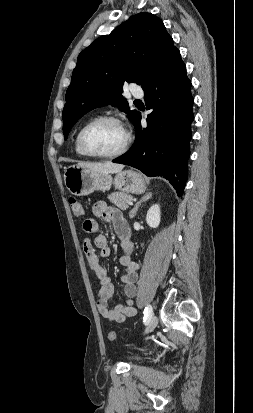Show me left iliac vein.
<instances>
[{"mask_svg":"<svg viewBox=\"0 0 253 413\" xmlns=\"http://www.w3.org/2000/svg\"><path fill=\"white\" fill-rule=\"evenodd\" d=\"M157 323H158V318L155 315H152L151 318L147 322V326L145 328L144 333L148 334L151 331H153L154 328L156 327Z\"/></svg>","mask_w":253,"mask_h":413,"instance_id":"1","label":"left iliac vein"}]
</instances>
